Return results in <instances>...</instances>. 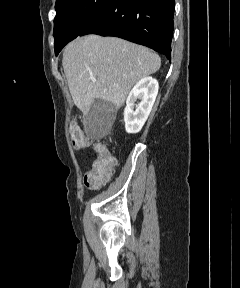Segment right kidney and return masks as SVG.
Here are the masks:
<instances>
[{
  "instance_id": "right-kidney-1",
  "label": "right kidney",
  "mask_w": 240,
  "mask_h": 288,
  "mask_svg": "<svg viewBox=\"0 0 240 288\" xmlns=\"http://www.w3.org/2000/svg\"><path fill=\"white\" fill-rule=\"evenodd\" d=\"M158 81L145 77L138 81L130 91L124 110L125 129L127 133H138L146 122L158 94ZM140 103L136 105L135 102Z\"/></svg>"
}]
</instances>
